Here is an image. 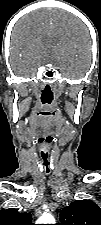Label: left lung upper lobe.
Segmentation results:
<instances>
[{"label":"left lung upper lobe","instance_id":"1","mask_svg":"<svg viewBox=\"0 0 101 225\" xmlns=\"http://www.w3.org/2000/svg\"><path fill=\"white\" fill-rule=\"evenodd\" d=\"M59 225H101V209L90 200H78L60 213Z\"/></svg>","mask_w":101,"mask_h":225}]
</instances>
